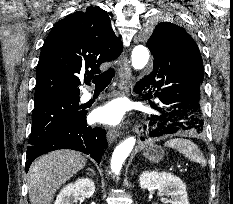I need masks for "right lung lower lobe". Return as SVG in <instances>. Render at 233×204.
I'll use <instances>...</instances> for the list:
<instances>
[{"label":"right lung lower lobe","mask_w":233,"mask_h":204,"mask_svg":"<svg viewBox=\"0 0 233 204\" xmlns=\"http://www.w3.org/2000/svg\"><path fill=\"white\" fill-rule=\"evenodd\" d=\"M106 147L105 130L87 127L86 112L81 111L61 128L27 148L26 172L35 158L58 149L83 152L99 163Z\"/></svg>","instance_id":"obj_1"}]
</instances>
